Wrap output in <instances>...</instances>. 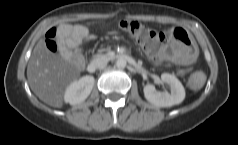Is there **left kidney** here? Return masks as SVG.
Instances as JSON below:
<instances>
[{"instance_id": "5707ae66", "label": "left kidney", "mask_w": 238, "mask_h": 145, "mask_svg": "<svg viewBox=\"0 0 238 145\" xmlns=\"http://www.w3.org/2000/svg\"><path fill=\"white\" fill-rule=\"evenodd\" d=\"M161 80L171 87V93L167 91L158 92L153 85H146L144 87V96L155 106L170 107L180 104L185 98V89L182 83L172 74L163 73Z\"/></svg>"}]
</instances>
